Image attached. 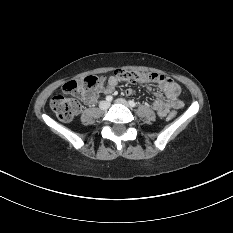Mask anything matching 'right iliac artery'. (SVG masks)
Segmentation results:
<instances>
[{
  "instance_id": "1",
  "label": "right iliac artery",
  "mask_w": 233,
  "mask_h": 233,
  "mask_svg": "<svg viewBox=\"0 0 233 233\" xmlns=\"http://www.w3.org/2000/svg\"><path fill=\"white\" fill-rule=\"evenodd\" d=\"M112 99H113L112 96H107V97H106V100H107L108 102L112 101Z\"/></svg>"
}]
</instances>
